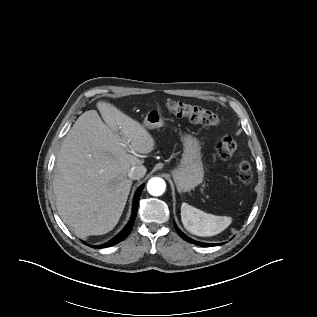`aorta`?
Returning a JSON list of instances; mask_svg holds the SVG:
<instances>
[{
  "mask_svg": "<svg viewBox=\"0 0 317 317\" xmlns=\"http://www.w3.org/2000/svg\"><path fill=\"white\" fill-rule=\"evenodd\" d=\"M147 190L152 196H161L166 190V183L160 177H153L148 181Z\"/></svg>",
  "mask_w": 317,
  "mask_h": 317,
  "instance_id": "obj_1",
  "label": "aorta"
}]
</instances>
